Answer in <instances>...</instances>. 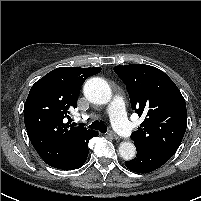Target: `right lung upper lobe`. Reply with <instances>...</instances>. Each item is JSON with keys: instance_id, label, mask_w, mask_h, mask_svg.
I'll return each mask as SVG.
<instances>
[{"instance_id": "obj_1", "label": "right lung upper lobe", "mask_w": 201, "mask_h": 201, "mask_svg": "<svg viewBox=\"0 0 201 201\" xmlns=\"http://www.w3.org/2000/svg\"><path fill=\"white\" fill-rule=\"evenodd\" d=\"M100 67H60L32 87L24 105L29 139L39 156L50 166L61 168L75 161L96 131L71 125L69 110L77 107L84 81Z\"/></svg>"}]
</instances>
